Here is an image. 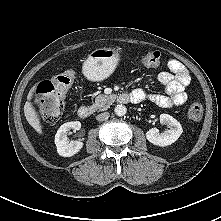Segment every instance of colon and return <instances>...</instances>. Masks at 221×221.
Listing matches in <instances>:
<instances>
[{"label": "colon", "mask_w": 221, "mask_h": 221, "mask_svg": "<svg viewBox=\"0 0 221 221\" xmlns=\"http://www.w3.org/2000/svg\"><path fill=\"white\" fill-rule=\"evenodd\" d=\"M141 63L147 68H157L161 64L159 51H149L141 58ZM75 74L65 71L51 80H45L38 84L36 89V105L42 118L47 122H56L60 119L64 107L66 93L74 82ZM188 118L198 121L203 114L202 104L193 101L188 107Z\"/></svg>", "instance_id": "5ec220e1"}]
</instances>
